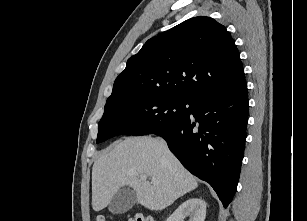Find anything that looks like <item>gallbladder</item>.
Masks as SVG:
<instances>
[{"instance_id":"obj_1","label":"gallbladder","mask_w":307,"mask_h":221,"mask_svg":"<svg viewBox=\"0 0 307 221\" xmlns=\"http://www.w3.org/2000/svg\"><path fill=\"white\" fill-rule=\"evenodd\" d=\"M136 192L129 188H121L111 199L108 210L113 214H123L136 203Z\"/></svg>"}]
</instances>
